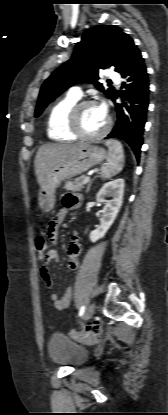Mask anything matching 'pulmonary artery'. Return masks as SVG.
<instances>
[{
    "instance_id": "1",
    "label": "pulmonary artery",
    "mask_w": 168,
    "mask_h": 415,
    "mask_svg": "<svg viewBox=\"0 0 168 415\" xmlns=\"http://www.w3.org/2000/svg\"><path fill=\"white\" fill-rule=\"evenodd\" d=\"M108 76L115 83L120 82V76L118 73L114 71H109ZM81 95H82V91H81V88L78 86L72 87L68 92V96L75 98V99H79Z\"/></svg>"
}]
</instances>
